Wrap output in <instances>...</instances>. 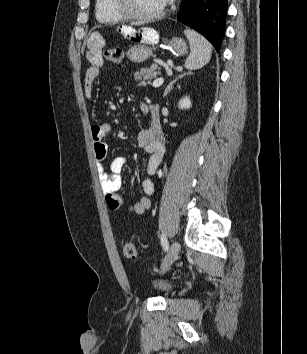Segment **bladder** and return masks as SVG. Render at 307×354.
Instances as JSON below:
<instances>
[{
	"instance_id": "obj_1",
	"label": "bladder",
	"mask_w": 307,
	"mask_h": 354,
	"mask_svg": "<svg viewBox=\"0 0 307 354\" xmlns=\"http://www.w3.org/2000/svg\"><path fill=\"white\" fill-rule=\"evenodd\" d=\"M150 285L154 291L163 296L169 295L174 290V285L165 279L154 277L150 280Z\"/></svg>"
}]
</instances>
